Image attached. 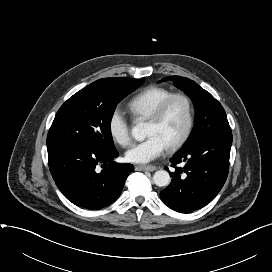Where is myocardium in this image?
<instances>
[{"instance_id":"1","label":"myocardium","mask_w":272,"mask_h":272,"mask_svg":"<svg viewBox=\"0 0 272 272\" xmlns=\"http://www.w3.org/2000/svg\"><path fill=\"white\" fill-rule=\"evenodd\" d=\"M176 99H180L185 103L187 119L184 131L181 134V136L175 142H173L171 145L167 147L169 151H175L179 149L188 140L192 133L195 117L194 106L191 99L184 93H172L167 98H165L147 118L148 121L152 122L160 121L163 118L164 114L166 113L170 104Z\"/></svg>"}]
</instances>
